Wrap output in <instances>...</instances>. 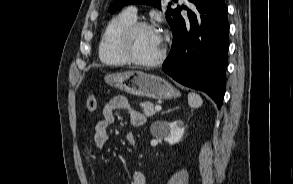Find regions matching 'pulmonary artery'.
<instances>
[{
    "label": "pulmonary artery",
    "instance_id": "obj_1",
    "mask_svg": "<svg viewBox=\"0 0 293 184\" xmlns=\"http://www.w3.org/2000/svg\"><path fill=\"white\" fill-rule=\"evenodd\" d=\"M126 12H127L129 15H131V16H133V17L136 18V15H137V9H136L134 6H130V7H128V8L126 9Z\"/></svg>",
    "mask_w": 293,
    "mask_h": 184
}]
</instances>
